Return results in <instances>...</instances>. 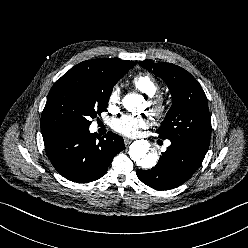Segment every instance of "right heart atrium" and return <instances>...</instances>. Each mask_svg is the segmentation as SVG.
Wrapping results in <instances>:
<instances>
[{"label":"right heart atrium","instance_id":"right-heart-atrium-1","mask_svg":"<svg viewBox=\"0 0 248 248\" xmlns=\"http://www.w3.org/2000/svg\"><path fill=\"white\" fill-rule=\"evenodd\" d=\"M109 102L112 106H116L120 102V89L115 85L109 95Z\"/></svg>","mask_w":248,"mask_h":248}]
</instances>
